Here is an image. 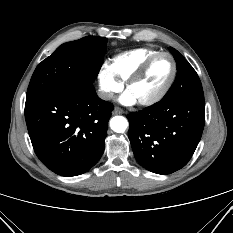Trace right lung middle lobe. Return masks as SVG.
Here are the masks:
<instances>
[{"mask_svg":"<svg viewBox=\"0 0 233 233\" xmlns=\"http://www.w3.org/2000/svg\"><path fill=\"white\" fill-rule=\"evenodd\" d=\"M107 39L88 36L59 46L35 69L26 101L92 83L103 63Z\"/></svg>","mask_w":233,"mask_h":233,"instance_id":"obj_1","label":"right lung middle lobe"}]
</instances>
